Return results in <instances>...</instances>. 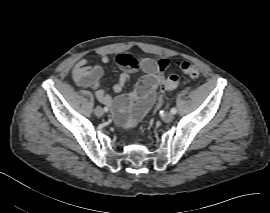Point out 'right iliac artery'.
Instances as JSON below:
<instances>
[{
    "mask_svg": "<svg viewBox=\"0 0 270 213\" xmlns=\"http://www.w3.org/2000/svg\"><path fill=\"white\" fill-rule=\"evenodd\" d=\"M104 111L105 112H108L109 111V108L108 107H104Z\"/></svg>",
    "mask_w": 270,
    "mask_h": 213,
    "instance_id": "obj_1",
    "label": "right iliac artery"
}]
</instances>
